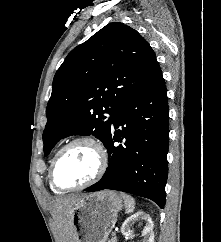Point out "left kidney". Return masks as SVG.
Listing matches in <instances>:
<instances>
[{
  "label": "left kidney",
  "instance_id": "obj_1",
  "mask_svg": "<svg viewBox=\"0 0 221 242\" xmlns=\"http://www.w3.org/2000/svg\"><path fill=\"white\" fill-rule=\"evenodd\" d=\"M139 219L146 221V225L142 231L143 242H154L153 221L150 215L144 213L143 211H139L131 215L124 221L121 227L122 234L125 236L130 234L132 232L131 226Z\"/></svg>",
  "mask_w": 221,
  "mask_h": 242
}]
</instances>
